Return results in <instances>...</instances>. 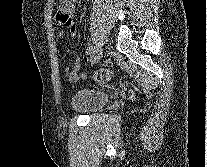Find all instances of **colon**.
<instances>
[{
    "mask_svg": "<svg viewBox=\"0 0 207 167\" xmlns=\"http://www.w3.org/2000/svg\"><path fill=\"white\" fill-rule=\"evenodd\" d=\"M112 77V71L109 69H99L94 74V79L98 83H106L108 82Z\"/></svg>",
    "mask_w": 207,
    "mask_h": 167,
    "instance_id": "obj_1",
    "label": "colon"
}]
</instances>
